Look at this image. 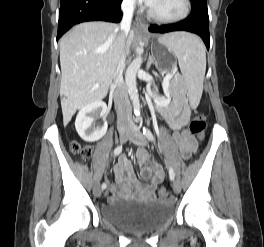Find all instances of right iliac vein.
Returning <instances> with one entry per match:
<instances>
[{
  "instance_id": "1",
  "label": "right iliac vein",
  "mask_w": 264,
  "mask_h": 247,
  "mask_svg": "<svg viewBox=\"0 0 264 247\" xmlns=\"http://www.w3.org/2000/svg\"><path fill=\"white\" fill-rule=\"evenodd\" d=\"M129 134H130V130L129 129H125V130L120 131V133H119L120 142L121 143H125L127 141L128 137H129ZM101 193H102V191H101L100 186L99 185H96L94 187V194H95V196L96 197H100L101 196Z\"/></svg>"
}]
</instances>
